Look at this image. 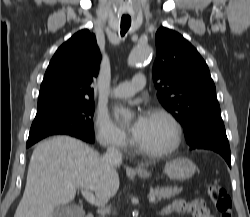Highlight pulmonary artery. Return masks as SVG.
<instances>
[{"label": "pulmonary artery", "mask_w": 250, "mask_h": 217, "mask_svg": "<svg viewBox=\"0 0 250 217\" xmlns=\"http://www.w3.org/2000/svg\"><path fill=\"white\" fill-rule=\"evenodd\" d=\"M146 84L144 74L135 75L131 81L122 82L110 90L109 95L114 98H128L143 89Z\"/></svg>", "instance_id": "pulmonary-artery-1"}]
</instances>
